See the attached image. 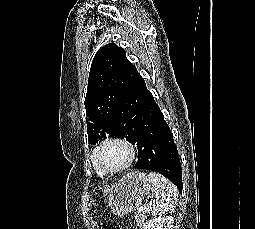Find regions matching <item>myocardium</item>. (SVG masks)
<instances>
[{"mask_svg":"<svg viewBox=\"0 0 255 229\" xmlns=\"http://www.w3.org/2000/svg\"><path fill=\"white\" fill-rule=\"evenodd\" d=\"M108 144H119L126 148V150L128 151V159L124 164H122L119 167H107L102 164L101 160L99 159V154L101 150ZM135 157H136L135 147L128 139L122 136H108L101 140L94 148L92 153V163L95 166L101 167L106 174H115L129 168L134 162Z\"/></svg>","mask_w":255,"mask_h":229,"instance_id":"f54148a6","label":"myocardium"}]
</instances>
